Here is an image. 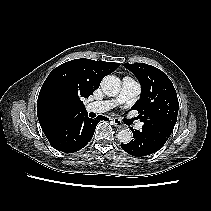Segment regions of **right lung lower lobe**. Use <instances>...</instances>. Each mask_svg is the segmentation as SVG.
<instances>
[{
  "label": "right lung lower lobe",
  "mask_w": 211,
  "mask_h": 211,
  "mask_svg": "<svg viewBox=\"0 0 211 211\" xmlns=\"http://www.w3.org/2000/svg\"><path fill=\"white\" fill-rule=\"evenodd\" d=\"M99 120H108V118L98 116L96 119H91L87 117V113L70 114L59 118L43 132L55 149L73 153L88 144Z\"/></svg>",
  "instance_id": "right-lung-lower-lobe-1"
}]
</instances>
